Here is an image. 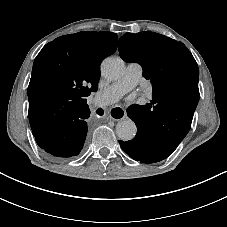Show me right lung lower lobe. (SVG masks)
Listing matches in <instances>:
<instances>
[{"label":"right lung lower lobe","mask_w":227,"mask_h":227,"mask_svg":"<svg viewBox=\"0 0 227 227\" xmlns=\"http://www.w3.org/2000/svg\"><path fill=\"white\" fill-rule=\"evenodd\" d=\"M89 115L88 105L58 119H50L49 110L45 107L29 106V121L37 144L57 159L80 153L88 132Z\"/></svg>","instance_id":"right-lung-lower-lobe-1"}]
</instances>
